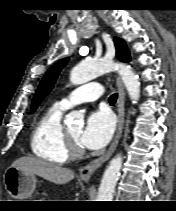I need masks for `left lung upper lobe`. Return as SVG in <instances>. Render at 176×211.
<instances>
[{"instance_id":"obj_1","label":"left lung upper lobe","mask_w":176,"mask_h":211,"mask_svg":"<svg viewBox=\"0 0 176 211\" xmlns=\"http://www.w3.org/2000/svg\"><path fill=\"white\" fill-rule=\"evenodd\" d=\"M116 45V55L119 59L123 61H130V54L126 47V44L123 40L115 38ZM68 58L62 59L54 64L43 77L36 94L32 100L31 112H34L44 97L50 92L53 88L56 78L61 71V69L66 65Z\"/></svg>"}]
</instances>
